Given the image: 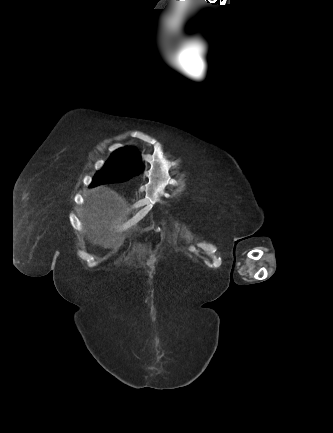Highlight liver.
<instances>
[{"mask_svg":"<svg viewBox=\"0 0 333 433\" xmlns=\"http://www.w3.org/2000/svg\"><path fill=\"white\" fill-rule=\"evenodd\" d=\"M127 206L125 198L106 186L90 190L81 217L89 240L106 249L119 248L124 242L122 231L131 224ZM115 227L119 228L118 233L111 232Z\"/></svg>","mask_w":333,"mask_h":433,"instance_id":"liver-1","label":"liver"}]
</instances>
